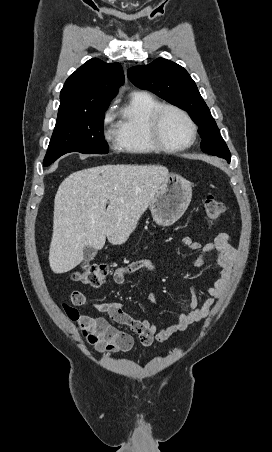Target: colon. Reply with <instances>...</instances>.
I'll list each match as a JSON object with an SVG mask.
<instances>
[{"label": "colon", "mask_w": 272, "mask_h": 452, "mask_svg": "<svg viewBox=\"0 0 272 452\" xmlns=\"http://www.w3.org/2000/svg\"><path fill=\"white\" fill-rule=\"evenodd\" d=\"M225 212L224 204L216 197L209 195L204 199V214L209 221H216ZM110 273V267L106 263L85 264L80 270L71 274V279L92 287H100L105 284Z\"/></svg>", "instance_id": "obj_1"}]
</instances>
